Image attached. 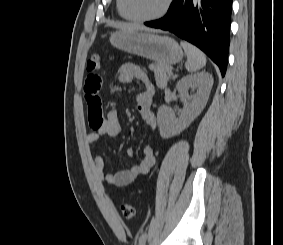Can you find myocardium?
Listing matches in <instances>:
<instances>
[{"instance_id": "f54148a6", "label": "myocardium", "mask_w": 283, "mask_h": 245, "mask_svg": "<svg viewBox=\"0 0 283 245\" xmlns=\"http://www.w3.org/2000/svg\"><path fill=\"white\" fill-rule=\"evenodd\" d=\"M172 3H173V0H165V3L163 5L162 9L158 13H156L155 15H152V16H149V17H136V16H133L132 14H130V12L128 10L127 0H122V9H123V12H124L127 19L135 21V22L145 23V22L155 21V20H158V19L164 17L168 13L169 9L171 8Z\"/></svg>"}]
</instances>
